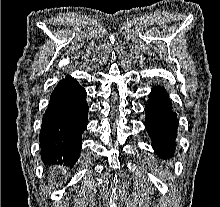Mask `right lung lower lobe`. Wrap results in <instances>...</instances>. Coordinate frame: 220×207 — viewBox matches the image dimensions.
<instances>
[{"label":"right lung lower lobe","instance_id":"1","mask_svg":"<svg viewBox=\"0 0 220 207\" xmlns=\"http://www.w3.org/2000/svg\"><path fill=\"white\" fill-rule=\"evenodd\" d=\"M86 91L71 76L53 90L39 135L44 162L75 164L87 127Z\"/></svg>","mask_w":220,"mask_h":207}]
</instances>
